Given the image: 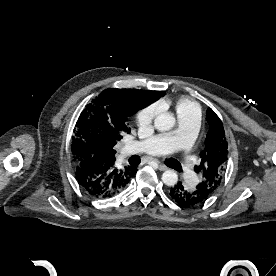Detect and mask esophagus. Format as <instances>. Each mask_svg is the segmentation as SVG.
Returning a JSON list of instances; mask_svg holds the SVG:
<instances>
[{
	"label": "esophagus",
	"mask_w": 276,
	"mask_h": 276,
	"mask_svg": "<svg viewBox=\"0 0 276 276\" xmlns=\"http://www.w3.org/2000/svg\"><path fill=\"white\" fill-rule=\"evenodd\" d=\"M147 160L148 161H156L157 162V164H158V168H159V170L160 171H165V170H167L168 169V167L165 165V164H163V163H161L160 161H158V160H155V159H153V158H147Z\"/></svg>",
	"instance_id": "1"
}]
</instances>
